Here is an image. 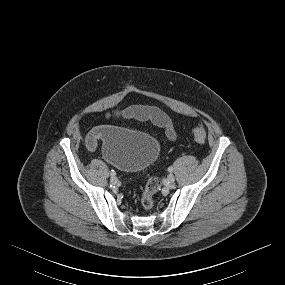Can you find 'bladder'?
I'll use <instances>...</instances> for the list:
<instances>
[{
  "label": "bladder",
  "mask_w": 285,
  "mask_h": 285,
  "mask_svg": "<svg viewBox=\"0 0 285 285\" xmlns=\"http://www.w3.org/2000/svg\"><path fill=\"white\" fill-rule=\"evenodd\" d=\"M104 158L126 172H139L153 163L160 144L148 133L108 125L102 136Z\"/></svg>",
  "instance_id": "1"
}]
</instances>
